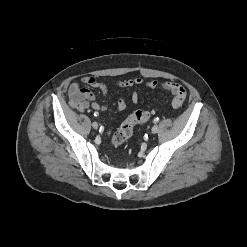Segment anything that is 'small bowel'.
Returning a JSON list of instances; mask_svg holds the SVG:
<instances>
[{"mask_svg":"<svg viewBox=\"0 0 247 247\" xmlns=\"http://www.w3.org/2000/svg\"><path fill=\"white\" fill-rule=\"evenodd\" d=\"M82 82L90 88L99 89L102 92L103 96H107L108 88L105 83L97 80L94 77H84L82 79ZM117 85L120 87L128 88H133L140 85H145L146 87L151 89L161 87L173 95L172 107L175 109L181 107L186 98L185 88L182 85L171 81L159 82L155 79L145 81L143 78L138 77L135 79L120 80L117 82ZM68 97L70 105L79 112H84L89 108L97 111H106L108 109L107 106L100 105L96 101V97L92 91L85 87H82L78 83H73L69 87ZM131 100L134 104L138 103L139 95L137 91H133ZM125 108L126 101L124 98H120L118 100L116 110L120 112L123 111Z\"/></svg>","mask_w":247,"mask_h":247,"instance_id":"c3829d8e","label":"small bowel"}]
</instances>
